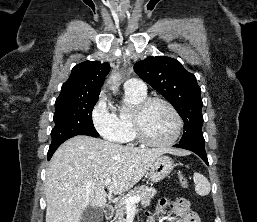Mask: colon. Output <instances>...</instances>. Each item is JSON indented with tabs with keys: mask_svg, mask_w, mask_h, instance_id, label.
<instances>
[{
	"mask_svg": "<svg viewBox=\"0 0 257 222\" xmlns=\"http://www.w3.org/2000/svg\"><path fill=\"white\" fill-rule=\"evenodd\" d=\"M179 184L182 188H187L188 187V179L186 178V176L184 174H180L179 177Z\"/></svg>",
	"mask_w": 257,
	"mask_h": 222,
	"instance_id": "5ec220e1",
	"label": "colon"
}]
</instances>
